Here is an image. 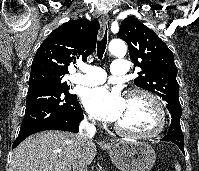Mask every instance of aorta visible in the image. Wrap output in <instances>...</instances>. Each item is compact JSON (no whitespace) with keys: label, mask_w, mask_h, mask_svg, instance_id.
<instances>
[{"label":"aorta","mask_w":199,"mask_h":171,"mask_svg":"<svg viewBox=\"0 0 199 171\" xmlns=\"http://www.w3.org/2000/svg\"><path fill=\"white\" fill-rule=\"evenodd\" d=\"M109 51L115 56H123L126 54L127 47L124 41L114 39L109 44Z\"/></svg>","instance_id":"1"}]
</instances>
